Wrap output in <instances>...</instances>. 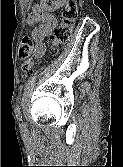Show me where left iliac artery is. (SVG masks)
<instances>
[{
	"label": "left iliac artery",
	"instance_id": "1",
	"mask_svg": "<svg viewBox=\"0 0 123 167\" xmlns=\"http://www.w3.org/2000/svg\"><path fill=\"white\" fill-rule=\"evenodd\" d=\"M14 113H15L16 118H17L19 121L22 120V115H21L19 103H16V106H15V108H14Z\"/></svg>",
	"mask_w": 123,
	"mask_h": 167
}]
</instances>
